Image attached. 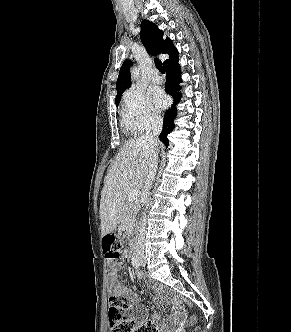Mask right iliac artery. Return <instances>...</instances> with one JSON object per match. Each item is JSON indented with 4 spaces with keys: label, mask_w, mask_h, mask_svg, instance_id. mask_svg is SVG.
Returning a JSON list of instances; mask_svg holds the SVG:
<instances>
[{
    "label": "right iliac artery",
    "mask_w": 291,
    "mask_h": 332,
    "mask_svg": "<svg viewBox=\"0 0 291 332\" xmlns=\"http://www.w3.org/2000/svg\"><path fill=\"white\" fill-rule=\"evenodd\" d=\"M132 265H133L136 269L139 268L140 263H139V260H138L136 257H133V258H132Z\"/></svg>",
    "instance_id": "82829eb1"
}]
</instances>
